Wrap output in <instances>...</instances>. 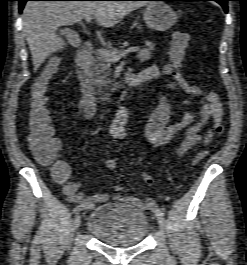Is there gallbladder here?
Returning a JSON list of instances; mask_svg holds the SVG:
<instances>
[{
  "label": "gallbladder",
  "instance_id": "obj_1",
  "mask_svg": "<svg viewBox=\"0 0 247 265\" xmlns=\"http://www.w3.org/2000/svg\"><path fill=\"white\" fill-rule=\"evenodd\" d=\"M60 32H61V35H67L69 33V31L66 29H63Z\"/></svg>",
  "mask_w": 247,
  "mask_h": 265
}]
</instances>
